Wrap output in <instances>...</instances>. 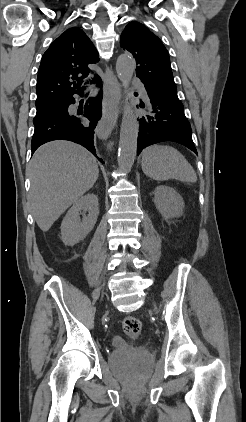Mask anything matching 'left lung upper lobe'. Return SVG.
<instances>
[{
	"label": "left lung upper lobe",
	"mask_w": 246,
	"mask_h": 422,
	"mask_svg": "<svg viewBox=\"0 0 246 422\" xmlns=\"http://www.w3.org/2000/svg\"><path fill=\"white\" fill-rule=\"evenodd\" d=\"M120 46L135 57L136 75L145 88L173 103L182 104L177 96L169 54L155 34L139 22H130L121 34Z\"/></svg>",
	"instance_id": "left-lung-upper-lobe-1"
}]
</instances>
